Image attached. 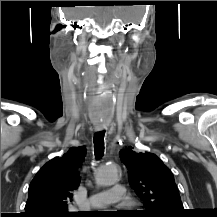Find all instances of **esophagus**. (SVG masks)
I'll return each mask as SVG.
<instances>
[{"mask_svg":"<svg viewBox=\"0 0 217 217\" xmlns=\"http://www.w3.org/2000/svg\"><path fill=\"white\" fill-rule=\"evenodd\" d=\"M103 126H96V130H102Z\"/></svg>","mask_w":217,"mask_h":217,"instance_id":"1","label":"esophagus"}]
</instances>
